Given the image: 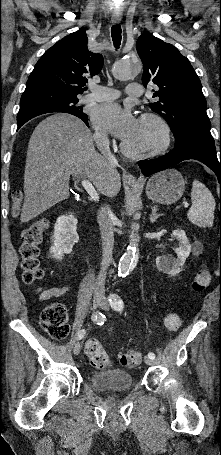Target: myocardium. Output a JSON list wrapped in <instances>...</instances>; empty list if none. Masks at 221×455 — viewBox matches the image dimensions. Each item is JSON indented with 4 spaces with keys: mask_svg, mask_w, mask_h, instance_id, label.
<instances>
[{
    "mask_svg": "<svg viewBox=\"0 0 221 455\" xmlns=\"http://www.w3.org/2000/svg\"><path fill=\"white\" fill-rule=\"evenodd\" d=\"M139 120H150L157 125L161 136L160 142L154 147L143 150L133 149L125 142H122V152L125 155L136 159L154 157L164 153L171 144V129L168 122L161 115L155 112L143 113L140 116Z\"/></svg>",
    "mask_w": 221,
    "mask_h": 455,
    "instance_id": "myocardium-1",
    "label": "myocardium"
}]
</instances>
